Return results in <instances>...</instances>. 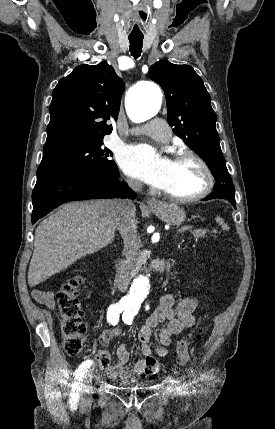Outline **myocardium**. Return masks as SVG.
Listing matches in <instances>:
<instances>
[{
	"label": "myocardium",
	"mask_w": 275,
	"mask_h": 429,
	"mask_svg": "<svg viewBox=\"0 0 275 429\" xmlns=\"http://www.w3.org/2000/svg\"><path fill=\"white\" fill-rule=\"evenodd\" d=\"M173 160H176V161H179V160L195 161L203 171L204 185L199 192H197L193 195H189V196H177V195L170 194V193L163 190L162 193L166 198H168L172 201H175V202H179V203H190V202H194V201H198L200 199H203L211 193L213 186H214L213 173H212L209 165L207 164V162L201 156H199L198 154L191 152V151H181V152H178L174 155Z\"/></svg>",
	"instance_id": "obj_1"
}]
</instances>
